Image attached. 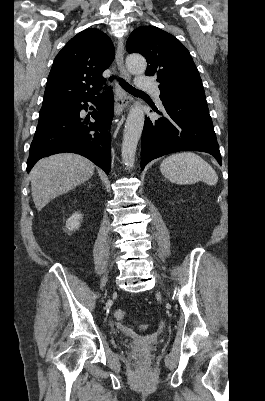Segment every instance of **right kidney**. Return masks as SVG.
I'll return each mask as SVG.
<instances>
[{
	"mask_svg": "<svg viewBox=\"0 0 265 401\" xmlns=\"http://www.w3.org/2000/svg\"><path fill=\"white\" fill-rule=\"evenodd\" d=\"M81 219L82 215H80V213H73L70 219L66 221V229H68V231H75V229H79Z\"/></svg>",
	"mask_w": 265,
	"mask_h": 401,
	"instance_id": "ca27d5eb",
	"label": "right kidney"
}]
</instances>
